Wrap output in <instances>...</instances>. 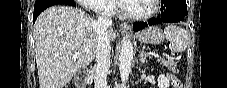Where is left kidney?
<instances>
[{"mask_svg": "<svg viewBox=\"0 0 227 88\" xmlns=\"http://www.w3.org/2000/svg\"><path fill=\"white\" fill-rule=\"evenodd\" d=\"M169 80L164 75H159L158 77V86L159 88H169Z\"/></svg>", "mask_w": 227, "mask_h": 88, "instance_id": "1", "label": "left kidney"}]
</instances>
